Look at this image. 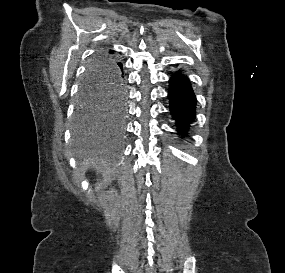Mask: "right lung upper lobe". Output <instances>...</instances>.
I'll return each mask as SVG.
<instances>
[{"instance_id": "cb5924a9", "label": "right lung upper lobe", "mask_w": 285, "mask_h": 273, "mask_svg": "<svg viewBox=\"0 0 285 273\" xmlns=\"http://www.w3.org/2000/svg\"><path fill=\"white\" fill-rule=\"evenodd\" d=\"M109 53L111 54V53H113V51H112V50H110V51H109ZM104 54H105V55H107L106 53H104ZM107 56H109V55H107ZM109 57H110V56H109Z\"/></svg>"}]
</instances>
